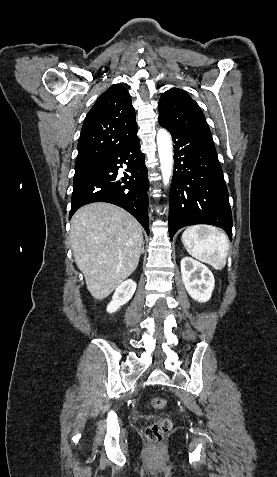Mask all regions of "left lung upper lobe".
Listing matches in <instances>:
<instances>
[{"mask_svg":"<svg viewBox=\"0 0 277 477\" xmlns=\"http://www.w3.org/2000/svg\"><path fill=\"white\" fill-rule=\"evenodd\" d=\"M158 106L159 123L163 127L210 131L198 104L182 89L166 91Z\"/></svg>","mask_w":277,"mask_h":477,"instance_id":"left-lung-upper-lobe-1","label":"left lung upper lobe"}]
</instances>
